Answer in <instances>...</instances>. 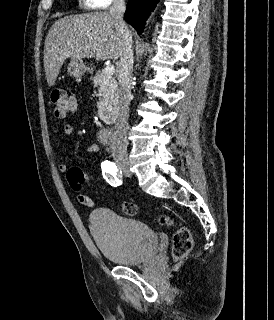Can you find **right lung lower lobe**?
<instances>
[{
    "label": "right lung lower lobe",
    "mask_w": 274,
    "mask_h": 320,
    "mask_svg": "<svg viewBox=\"0 0 274 320\" xmlns=\"http://www.w3.org/2000/svg\"><path fill=\"white\" fill-rule=\"evenodd\" d=\"M159 0H128L124 19L135 28L138 34L144 31L145 20L156 7Z\"/></svg>",
    "instance_id": "obj_1"
}]
</instances>
